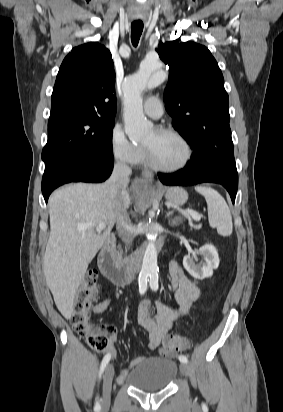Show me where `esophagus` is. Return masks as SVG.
<instances>
[{"label": "esophagus", "instance_id": "34e87169", "mask_svg": "<svg viewBox=\"0 0 283 412\" xmlns=\"http://www.w3.org/2000/svg\"><path fill=\"white\" fill-rule=\"evenodd\" d=\"M144 177L150 182H152L153 180V176L151 173H144Z\"/></svg>", "mask_w": 283, "mask_h": 412}]
</instances>
